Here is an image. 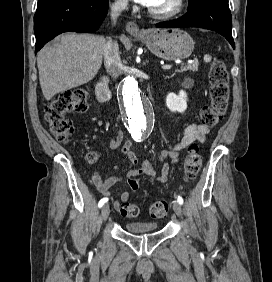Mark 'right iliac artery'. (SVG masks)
I'll return each instance as SVG.
<instances>
[{
    "label": "right iliac artery",
    "instance_id": "right-iliac-artery-1",
    "mask_svg": "<svg viewBox=\"0 0 272 282\" xmlns=\"http://www.w3.org/2000/svg\"><path fill=\"white\" fill-rule=\"evenodd\" d=\"M107 201H108L107 198H102L98 203V207L99 208L102 207Z\"/></svg>",
    "mask_w": 272,
    "mask_h": 282
}]
</instances>
